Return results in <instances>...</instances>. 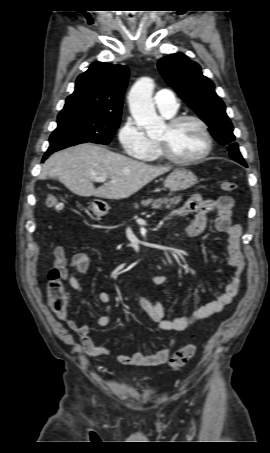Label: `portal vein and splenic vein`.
Here are the masks:
<instances>
[{
    "instance_id": "obj_1",
    "label": "portal vein and splenic vein",
    "mask_w": 270,
    "mask_h": 453,
    "mask_svg": "<svg viewBox=\"0 0 270 453\" xmlns=\"http://www.w3.org/2000/svg\"><path fill=\"white\" fill-rule=\"evenodd\" d=\"M94 181H95V182H100V183H102V182H105V181H106V177H104V176H99V177L94 178Z\"/></svg>"
}]
</instances>
